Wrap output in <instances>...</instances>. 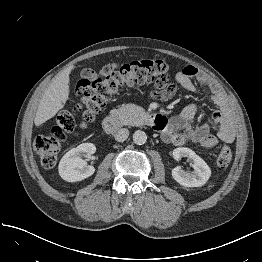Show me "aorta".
<instances>
[{
  "instance_id": "1",
  "label": "aorta",
  "mask_w": 262,
  "mask_h": 262,
  "mask_svg": "<svg viewBox=\"0 0 262 262\" xmlns=\"http://www.w3.org/2000/svg\"><path fill=\"white\" fill-rule=\"evenodd\" d=\"M147 141V135L144 131L137 130L133 134V142L136 145H143Z\"/></svg>"
}]
</instances>
